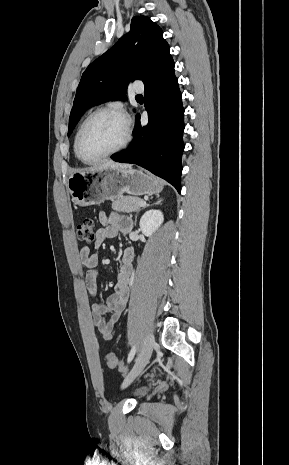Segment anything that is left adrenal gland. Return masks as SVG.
<instances>
[{
  "mask_svg": "<svg viewBox=\"0 0 289 465\" xmlns=\"http://www.w3.org/2000/svg\"><path fill=\"white\" fill-rule=\"evenodd\" d=\"M161 202H162V199H159L155 204H161ZM137 215H138V212H137V214L135 216V223H134L135 225L137 223Z\"/></svg>",
  "mask_w": 289,
  "mask_h": 465,
  "instance_id": "left-adrenal-gland-1",
  "label": "left adrenal gland"
}]
</instances>
